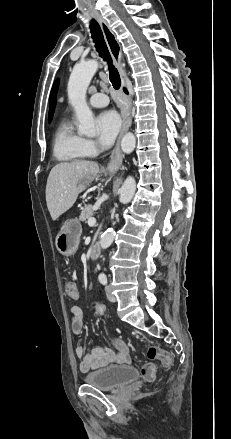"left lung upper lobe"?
I'll list each match as a JSON object with an SVG mask.
<instances>
[{
	"instance_id": "left-lung-upper-lobe-1",
	"label": "left lung upper lobe",
	"mask_w": 231,
	"mask_h": 439,
	"mask_svg": "<svg viewBox=\"0 0 231 439\" xmlns=\"http://www.w3.org/2000/svg\"><path fill=\"white\" fill-rule=\"evenodd\" d=\"M57 87H58V81L55 82L52 91H51V95H50V113H49V121H51L52 119V115L54 112V108H55V103H56V92H57Z\"/></svg>"
}]
</instances>
